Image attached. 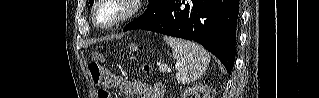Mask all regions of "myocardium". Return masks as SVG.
Segmentation results:
<instances>
[{"label": "myocardium", "mask_w": 319, "mask_h": 98, "mask_svg": "<svg viewBox=\"0 0 319 98\" xmlns=\"http://www.w3.org/2000/svg\"><path fill=\"white\" fill-rule=\"evenodd\" d=\"M108 2H117L125 6V12L118 17L117 19L113 20L107 24H101L97 19L98 9L105 3ZM142 0H97L92 8V21L93 23L102 29H111L117 27L128 20L132 19L135 15L139 13L142 8Z\"/></svg>", "instance_id": "obj_1"}]
</instances>
